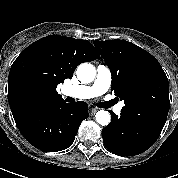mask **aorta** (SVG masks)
Segmentation results:
<instances>
[{"mask_svg": "<svg viewBox=\"0 0 178 178\" xmlns=\"http://www.w3.org/2000/svg\"><path fill=\"white\" fill-rule=\"evenodd\" d=\"M76 74H77V78L82 83H90L94 80L96 76V69L90 63H83L77 67ZM95 118L96 121L102 126L108 125L111 121V116L109 112L105 110L98 111L95 115Z\"/></svg>", "mask_w": 178, "mask_h": 178, "instance_id": "aorta-1", "label": "aorta"}]
</instances>
